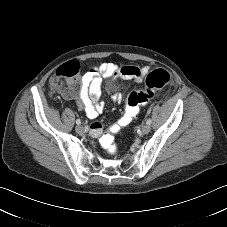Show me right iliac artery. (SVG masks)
I'll list each match as a JSON object with an SVG mask.
<instances>
[{
	"instance_id": "82829eb1",
	"label": "right iliac artery",
	"mask_w": 227,
	"mask_h": 227,
	"mask_svg": "<svg viewBox=\"0 0 227 227\" xmlns=\"http://www.w3.org/2000/svg\"><path fill=\"white\" fill-rule=\"evenodd\" d=\"M76 124H81V121L79 119L76 120Z\"/></svg>"
}]
</instances>
